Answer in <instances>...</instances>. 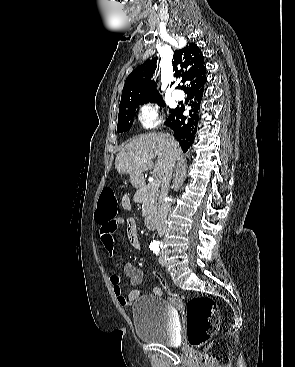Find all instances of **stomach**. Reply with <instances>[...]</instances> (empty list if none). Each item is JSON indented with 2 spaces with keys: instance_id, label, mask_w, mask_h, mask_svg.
I'll list each match as a JSON object with an SVG mask.
<instances>
[{
  "instance_id": "obj_1",
  "label": "stomach",
  "mask_w": 295,
  "mask_h": 367,
  "mask_svg": "<svg viewBox=\"0 0 295 367\" xmlns=\"http://www.w3.org/2000/svg\"><path fill=\"white\" fill-rule=\"evenodd\" d=\"M130 181L131 184L136 188H140L144 184L143 176L140 175H131Z\"/></svg>"
}]
</instances>
